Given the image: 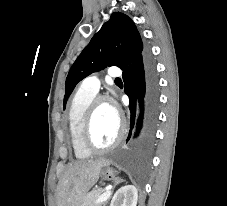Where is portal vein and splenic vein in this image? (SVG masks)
<instances>
[{
	"label": "portal vein and splenic vein",
	"mask_w": 227,
	"mask_h": 206,
	"mask_svg": "<svg viewBox=\"0 0 227 206\" xmlns=\"http://www.w3.org/2000/svg\"><path fill=\"white\" fill-rule=\"evenodd\" d=\"M110 194H111L110 190L104 191L102 195L97 199L96 203L99 204L106 201L109 198Z\"/></svg>",
	"instance_id": "portal-vein-and-splenic-vein-1"
}]
</instances>
